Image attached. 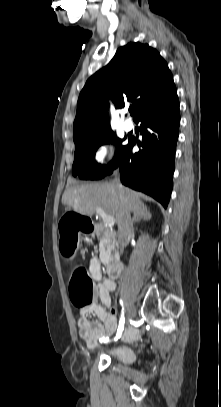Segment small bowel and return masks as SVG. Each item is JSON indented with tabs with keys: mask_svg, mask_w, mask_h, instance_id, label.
I'll return each instance as SVG.
<instances>
[{
	"mask_svg": "<svg viewBox=\"0 0 221 407\" xmlns=\"http://www.w3.org/2000/svg\"><path fill=\"white\" fill-rule=\"evenodd\" d=\"M89 274L95 282L93 296L95 301L91 305L80 310L78 319L79 335L84 340L88 349H95L103 337L112 335L117 329L116 309L112 305L111 293L116 289V281L111 278H103L100 261L94 257L90 261ZM94 314L97 320L89 318ZM138 332L128 330L124 336L126 342L138 338Z\"/></svg>",
	"mask_w": 221,
	"mask_h": 407,
	"instance_id": "c3829d8e",
	"label": "small bowel"
}]
</instances>
